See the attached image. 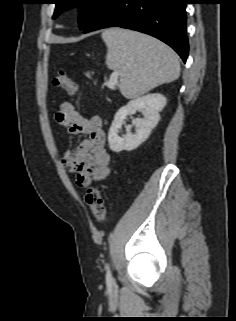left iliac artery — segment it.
Returning a JSON list of instances; mask_svg holds the SVG:
<instances>
[{"label":"left iliac artery","mask_w":236,"mask_h":321,"mask_svg":"<svg viewBox=\"0 0 236 321\" xmlns=\"http://www.w3.org/2000/svg\"><path fill=\"white\" fill-rule=\"evenodd\" d=\"M106 283H107V286H112L113 284L112 273L109 265L106 266Z\"/></svg>","instance_id":"left-iliac-artery-1"}]
</instances>
